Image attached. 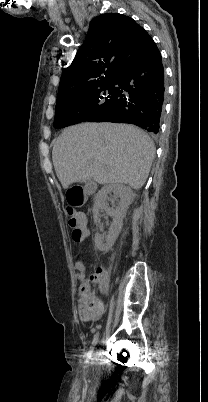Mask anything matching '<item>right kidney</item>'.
Returning a JSON list of instances; mask_svg holds the SVG:
<instances>
[{"label":"right kidney","instance_id":"right-kidney-1","mask_svg":"<svg viewBox=\"0 0 208 402\" xmlns=\"http://www.w3.org/2000/svg\"><path fill=\"white\" fill-rule=\"evenodd\" d=\"M109 194H115L114 198H120V202L116 208H108L107 200ZM133 200V192L129 186H124V184H107L99 190L98 194L95 196V202L93 206V218L96 226H98V216L101 210H105L108 216L114 218L113 226H110V234L106 238L108 244H103L101 234H95V246L101 252H107L111 246H113L116 238L121 232L123 218Z\"/></svg>","mask_w":208,"mask_h":402}]
</instances>
